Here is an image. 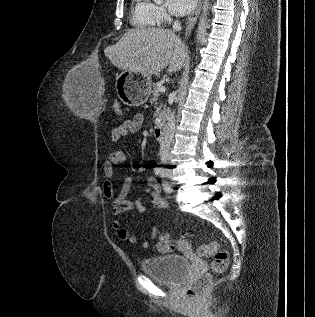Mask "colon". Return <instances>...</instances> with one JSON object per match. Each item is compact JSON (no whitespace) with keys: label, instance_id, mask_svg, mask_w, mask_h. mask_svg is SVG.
I'll return each mask as SVG.
<instances>
[{"label":"colon","instance_id":"5ec220e1","mask_svg":"<svg viewBox=\"0 0 315 317\" xmlns=\"http://www.w3.org/2000/svg\"><path fill=\"white\" fill-rule=\"evenodd\" d=\"M117 114L122 113L119 104L115 105ZM173 241L169 233H163L159 237L157 244L158 250L161 252H170L173 249ZM200 256L213 257L209 272L204 273L195 278L187 287L186 296L190 300H197L208 288L213 275L223 273L228 266V252L223 249L217 241H211L208 244H200L197 248Z\"/></svg>","mask_w":315,"mask_h":317}]
</instances>
